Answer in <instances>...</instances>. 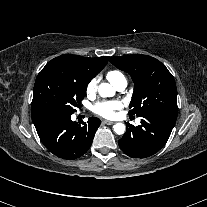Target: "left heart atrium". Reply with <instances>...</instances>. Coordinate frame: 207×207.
<instances>
[{"label":"left heart atrium","mask_w":207,"mask_h":207,"mask_svg":"<svg viewBox=\"0 0 207 207\" xmlns=\"http://www.w3.org/2000/svg\"><path fill=\"white\" fill-rule=\"evenodd\" d=\"M120 108H121V104L117 101H105V102L97 103L93 107V112L104 118H110Z\"/></svg>","instance_id":"left-heart-atrium-1"}]
</instances>
